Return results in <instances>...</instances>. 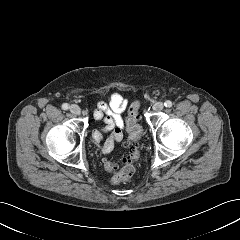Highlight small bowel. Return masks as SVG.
Wrapping results in <instances>:
<instances>
[{
	"instance_id": "obj_1",
	"label": "small bowel",
	"mask_w": 240,
	"mask_h": 240,
	"mask_svg": "<svg viewBox=\"0 0 240 240\" xmlns=\"http://www.w3.org/2000/svg\"><path fill=\"white\" fill-rule=\"evenodd\" d=\"M128 101L120 93L111 94L109 102L100 101L93 112L95 120L103 122L104 126L92 133L95 143H101V152L110 153L114 146L123 139L124 120L122 113L127 108ZM109 134L107 138H104Z\"/></svg>"
}]
</instances>
